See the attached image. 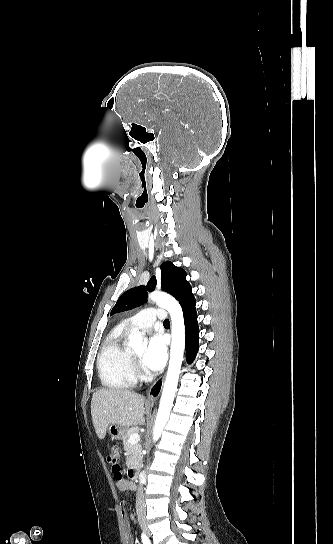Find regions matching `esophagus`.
Here are the masks:
<instances>
[{
  "instance_id": "34e87169",
  "label": "esophagus",
  "mask_w": 333,
  "mask_h": 544,
  "mask_svg": "<svg viewBox=\"0 0 333 544\" xmlns=\"http://www.w3.org/2000/svg\"><path fill=\"white\" fill-rule=\"evenodd\" d=\"M164 379H165V376H163L162 378L156 380L150 387L149 391H148V396H147V402L149 404H154L157 399L159 398L161 392H162V388H163V385H164Z\"/></svg>"
}]
</instances>
